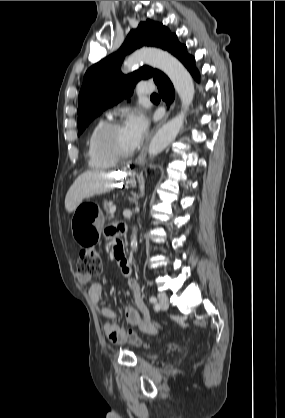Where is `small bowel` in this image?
I'll list each match as a JSON object with an SVG mask.
<instances>
[{
	"mask_svg": "<svg viewBox=\"0 0 285 418\" xmlns=\"http://www.w3.org/2000/svg\"><path fill=\"white\" fill-rule=\"evenodd\" d=\"M122 231L121 226L116 228H108L105 230L107 236L113 241L115 247L117 242V235ZM121 272L127 279V288L132 296V299L135 303V307L127 306L124 310V316L126 320L137 326L141 331L147 334H155L156 326L152 322L149 311L143 301L141 290L138 281L132 276V270L130 263L125 259L118 261ZM78 282L86 283L89 281V278L86 276L77 275ZM103 287L101 283H93L89 289V297L91 301L98 307V311L103 318L113 319L115 317V312L112 308L108 306L100 307L99 304L102 300ZM109 325H112L114 330L108 328ZM119 327L116 324H105L104 331L108 340L113 344H121L125 341V336L119 331Z\"/></svg>",
	"mask_w": 285,
	"mask_h": 418,
	"instance_id": "1",
	"label": "small bowel"
}]
</instances>
